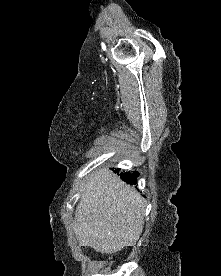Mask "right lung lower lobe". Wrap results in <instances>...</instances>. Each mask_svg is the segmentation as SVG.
Returning a JSON list of instances; mask_svg holds the SVG:
<instances>
[{
  "label": "right lung lower lobe",
  "mask_w": 221,
  "mask_h": 276,
  "mask_svg": "<svg viewBox=\"0 0 221 276\" xmlns=\"http://www.w3.org/2000/svg\"><path fill=\"white\" fill-rule=\"evenodd\" d=\"M117 172V170L115 171ZM139 173L138 172H125V173H121L120 176H121V179L126 182L127 184H130V185H135L137 184V177H138Z\"/></svg>",
  "instance_id": "98d812e1"
}]
</instances>
